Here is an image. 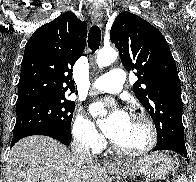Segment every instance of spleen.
I'll use <instances>...</instances> for the list:
<instances>
[{"label":"spleen","mask_w":196,"mask_h":182,"mask_svg":"<svg viewBox=\"0 0 196 182\" xmlns=\"http://www.w3.org/2000/svg\"><path fill=\"white\" fill-rule=\"evenodd\" d=\"M175 182H188L187 178L185 177V175L181 174L178 176V178L175 180Z\"/></svg>","instance_id":"obj_1"}]
</instances>
